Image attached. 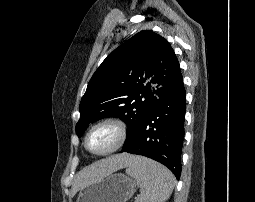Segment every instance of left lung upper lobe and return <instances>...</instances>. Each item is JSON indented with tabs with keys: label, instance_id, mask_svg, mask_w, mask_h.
I'll return each mask as SVG.
<instances>
[{
	"label": "left lung upper lobe",
	"instance_id": "left-lung-upper-lobe-1",
	"mask_svg": "<svg viewBox=\"0 0 255 202\" xmlns=\"http://www.w3.org/2000/svg\"><path fill=\"white\" fill-rule=\"evenodd\" d=\"M176 55L168 41L143 30L111 52L96 70L80 102L76 132L90 123L119 117L128 126L124 147L155 104L182 84Z\"/></svg>",
	"mask_w": 255,
	"mask_h": 202
}]
</instances>
